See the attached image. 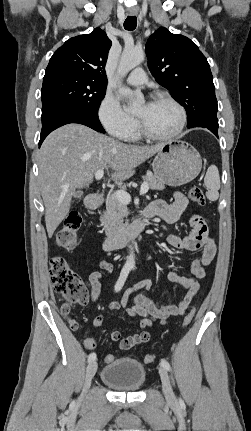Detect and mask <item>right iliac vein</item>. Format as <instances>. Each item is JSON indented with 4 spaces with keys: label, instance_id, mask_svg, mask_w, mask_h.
Returning a JSON list of instances; mask_svg holds the SVG:
<instances>
[{
    "label": "right iliac vein",
    "instance_id": "right-iliac-vein-1",
    "mask_svg": "<svg viewBox=\"0 0 251 431\" xmlns=\"http://www.w3.org/2000/svg\"><path fill=\"white\" fill-rule=\"evenodd\" d=\"M96 371H97V362L96 361L90 362L86 369L83 393H86L87 390L89 389Z\"/></svg>",
    "mask_w": 251,
    "mask_h": 431
}]
</instances>
